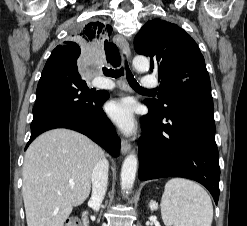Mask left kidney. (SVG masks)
I'll use <instances>...</instances> for the list:
<instances>
[{"label":"left kidney","instance_id":"1","mask_svg":"<svg viewBox=\"0 0 247 226\" xmlns=\"http://www.w3.org/2000/svg\"><path fill=\"white\" fill-rule=\"evenodd\" d=\"M149 208L151 211L157 210L158 209V203L156 201H150Z\"/></svg>","mask_w":247,"mask_h":226}]
</instances>
